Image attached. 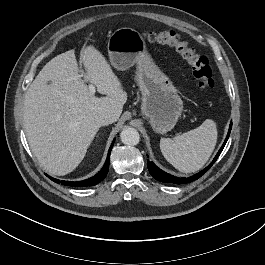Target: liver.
<instances>
[{
    "label": "liver",
    "mask_w": 265,
    "mask_h": 265,
    "mask_svg": "<svg viewBox=\"0 0 265 265\" xmlns=\"http://www.w3.org/2000/svg\"><path fill=\"white\" fill-rule=\"evenodd\" d=\"M80 61L87 71L81 75L74 50L57 55L39 72L24 98L28 143L52 175L72 172L100 128L96 116L106 112L116 122L127 100L120 80L93 45L82 49ZM88 81L106 97L92 95L85 84Z\"/></svg>",
    "instance_id": "obj_1"
}]
</instances>
